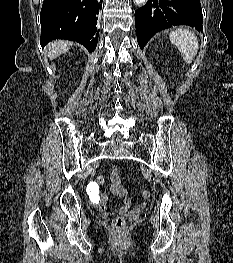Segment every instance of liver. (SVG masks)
I'll return each instance as SVG.
<instances>
[{"label": "liver", "instance_id": "obj_1", "mask_svg": "<svg viewBox=\"0 0 233 263\" xmlns=\"http://www.w3.org/2000/svg\"><path fill=\"white\" fill-rule=\"evenodd\" d=\"M71 43L64 40H56L48 45V57L50 60L55 59L59 55L65 53L70 48Z\"/></svg>", "mask_w": 233, "mask_h": 263}]
</instances>
